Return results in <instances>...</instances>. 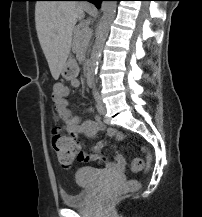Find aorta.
Segmentation results:
<instances>
[{
	"instance_id": "762f6f07",
	"label": "aorta",
	"mask_w": 202,
	"mask_h": 217,
	"mask_svg": "<svg viewBox=\"0 0 202 217\" xmlns=\"http://www.w3.org/2000/svg\"><path fill=\"white\" fill-rule=\"evenodd\" d=\"M116 6H117L116 1H103L101 4L103 15L99 23L95 44L93 47L92 57H91L92 60L91 66L93 72L97 71L98 62L100 61L101 58V51L103 49L105 40L107 38L110 24L115 16Z\"/></svg>"
}]
</instances>
